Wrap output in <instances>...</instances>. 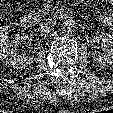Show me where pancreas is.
I'll return each instance as SVG.
<instances>
[{
	"instance_id": "1",
	"label": "pancreas",
	"mask_w": 113,
	"mask_h": 113,
	"mask_svg": "<svg viewBox=\"0 0 113 113\" xmlns=\"http://www.w3.org/2000/svg\"><path fill=\"white\" fill-rule=\"evenodd\" d=\"M48 9L46 8H42V9H37L36 12H33L34 16L39 18L40 16L41 17H44L47 13H48Z\"/></svg>"
}]
</instances>
